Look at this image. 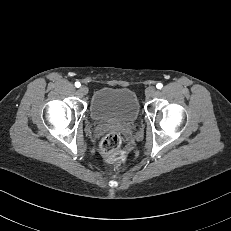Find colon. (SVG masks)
I'll list each match as a JSON object with an SVG mask.
<instances>
[{
  "label": "colon",
  "instance_id": "obj_1",
  "mask_svg": "<svg viewBox=\"0 0 231 231\" xmlns=\"http://www.w3.org/2000/svg\"><path fill=\"white\" fill-rule=\"evenodd\" d=\"M122 138L118 133H109L101 141L100 151L108 162H122L127 158L126 152L122 149Z\"/></svg>",
  "mask_w": 231,
  "mask_h": 231
}]
</instances>
